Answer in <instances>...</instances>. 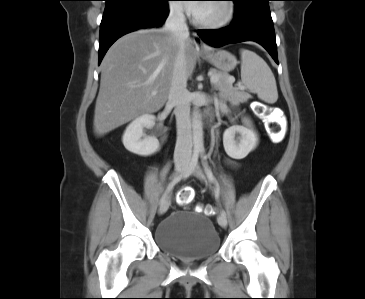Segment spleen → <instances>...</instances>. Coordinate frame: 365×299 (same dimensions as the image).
Returning <instances> with one entry per match:
<instances>
[{"instance_id":"3e777b00","label":"spleen","mask_w":365,"mask_h":299,"mask_svg":"<svg viewBox=\"0 0 365 299\" xmlns=\"http://www.w3.org/2000/svg\"><path fill=\"white\" fill-rule=\"evenodd\" d=\"M241 81L251 92L267 102L275 103L278 92L275 77L267 63L255 52L241 49Z\"/></svg>"}]
</instances>
